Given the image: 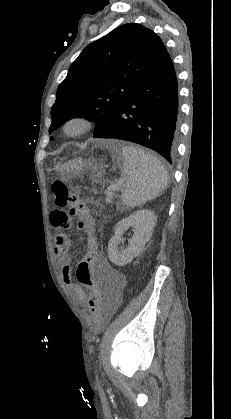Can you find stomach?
<instances>
[{"mask_svg": "<svg viewBox=\"0 0 231 419\" xmlns=\"http://www.w3.org/2000/svg\"><path fill=\"white\" fill-rule=\"evenodd\" d=\"M96 165L93 163H88L82 158L74 159L59 168V171L66 172L72 175L80 176L83 172L91 169H95Z\"/></svg>", "mask_w": 231, "mask_h": 419, "instance_id": "1", "label": "stomach"}]
</instances>
